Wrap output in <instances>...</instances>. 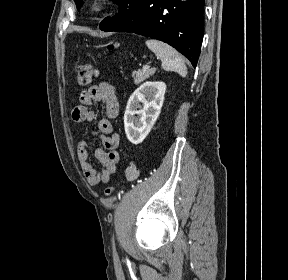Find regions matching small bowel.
Wrapping results in <instances>:
<instances>
[{
  "mask_svg": "<svg viewBox=\"0 0 288 280\" xmlns=\"http://www.w3.org/2000/svg\"><path fill=\"white\" fill-rule=\"evenodd\" d=\"M80 104L75 106L71 112V118L75 123L90 122L95 113L91 109L94 102H100L103 106L104 117L98 121L97 130L93 132L102 142V148L94 152L96 159L102 168L97 170L89 160L88 144L80 141L78 144L77 157L87 182L92 186L107 183L116 172L120 156L117 151L119 146V135L113 131L112 120L119 112L117 92L113 85L102 81L83 90L79 96Z\"/></svg>",
  "mask_w": 288,
  "mask_h": 280,
  "instance_id": "1",
  "label": "small bowel"
}]
</instances>
